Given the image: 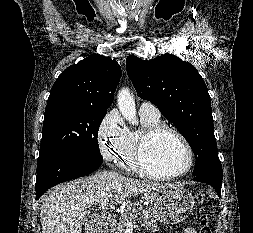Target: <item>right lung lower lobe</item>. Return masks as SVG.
<instances>
[{
	"instance_id": "98d812e1",
	"label": "right lung lower lobe",
	"mask_w": 253,
	"mask_h": 233,
	"mask_svg": "<svg viewBox=\"0 0 253 233\" xmlns=\"http://www.w3.org/2000/svg\"><path fill=\"white\" fill-rule=\"evenodd\" d=\"M102 161L65 154H51L38 159L36 199L59 183L92 173L100 167Z\"/></svg>"
}]
</instances>
